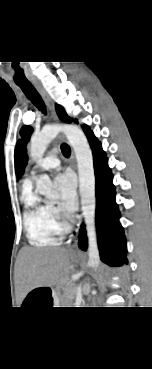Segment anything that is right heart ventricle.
Returning <instances> with one entry per match:
<instances>
[{
	"label": "right heart ventricle",
	"mask_w": 152,
	"mask_h": 369,
	"mask_svg": "<svg viewBox=\"0 0 152 369\" xmlns=\"http://www.w3.org/2000/svg\"><path fill=\"white\" fill-rule=\"evenodd\" d=\"M23 223L29 242L34 246L53 245L62 233L54 221L51 207L41 203L30 190L23 194Z\"/></svg>",
	"instance_id": "obj_1"
}]
</instances>
